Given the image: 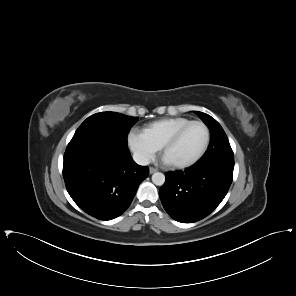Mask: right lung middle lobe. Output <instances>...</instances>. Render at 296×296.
I'll return each instance as SVG.
<instances>
[{
    "label": "right lung middle lobe",
    "instance_id": "1",
    "mask_svg": "<svg viewBox=\"0 0 296 296\" xmlns=\"http://www.w3.org/2000/svg\"><path fill=\"white\" fill-rule=\"evenodd\" d=\"M138 121L116 112H101L88 117L76 130L72 140L101 138L121 145H127V134Z\"/></svg>",
    "mask_w": 296,
    "mask_h": 296
}]
</instances>
